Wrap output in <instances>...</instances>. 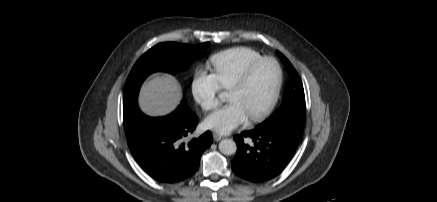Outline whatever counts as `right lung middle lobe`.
I'll return each instance as SVG.
<instances>
[{
  "mask_svg": "<svg viewBox=\"0 0 437 202\" xmlns=\"http://www.w3.org/2000/svg\"><path fill=\"white\" fill-rule=\"evenodd\" d=\"M209 42L199 45H186L175 42L160 43L144 53L133 66L125 83L123 94V117L127 131L141 114L137 104L140 86L153 72L163 71L171 74L184 71L209 46ZM188 108L184 99L180 106Z\"/></svg>",
  "mask_w": 437,
  "mask_h": 202,
  "instance_id": "1",
  "label": "right lung middle lobe"
}]
</instances>
